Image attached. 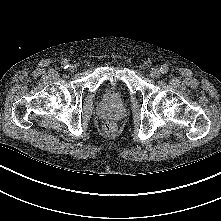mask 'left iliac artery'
Wrapping results in <instances>:
<instances>
[{
  "label": "left iliac artery",
  "instance_id": "left-iliac-artery-1",
  "mask_svg": "<svg viewBox=\"0 0 221 221\" xmlns=\"http://www.w3.org/2000/svg\"><path fill=\"white\" fill-rule=\"evenodd\" d=\"M169 68L166 65H163L160 67V72L162 74H166L168 72Z\"/></svg>",
  "mask_w": 221,
  "mask_h": 221
}]
</instances>
